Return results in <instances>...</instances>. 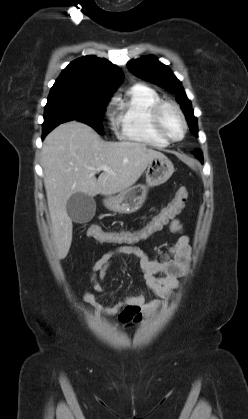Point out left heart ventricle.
Here are the masks:
<instances>
[{
  "label": "left heart ventricle",
  "mask_w": 248,
  "mask_h": 419,
  "mask_svg": "<svg viewBox=\"0 0 248 419\" xmlns=\"http://www.w3.org/2000/svg\"><path fill=\"white\" fill-rule=\"evenodd\" d=\"M161 123L164 131L172 138H179L183 131L182 122L171 107H165L161 113Z\"/></svg>",
  "instance_id": "obj_1"
}]
</instances>
